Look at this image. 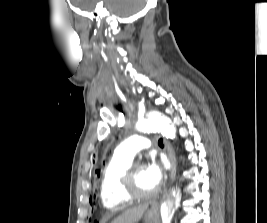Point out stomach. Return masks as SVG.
Returning a JSON list of instances; mask_svg holds the SVG:
<instances>
[{"mask_svg":"<svg viewBox=\"0 0 267 223\" xmlns=\"http://www.w3.org/2000/svg\"><path fill=\"white\" fill-rule=\"evenodd\" d=\"M157 217H158L157 210L155 208H152L145 213L144 216L145 223H157Z\"/></svg>","mask_w":267,"mask_h":223,"instance_id":"obj_1","label":"stomach"}]
</instances>
